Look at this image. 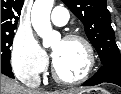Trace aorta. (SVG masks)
Segmentation results:
<instances>
[{
  "label": "aorta",
  "mask_w": 121,
  "mask_h": 94,
  "mask_svg": "<svg viewBox=\"0 0 121 94\" xmlns=\"http://www.w3.org/2000/svg\"><path fill=\"white\" fill-rule=\"evenodd\" d=\"M54 0H35L31 12V22L35 32L42 38L43 46L49 47L59 37L50 22Z\"/></svg>",
  "instance_id": "obj_1"
}]
</instances>
